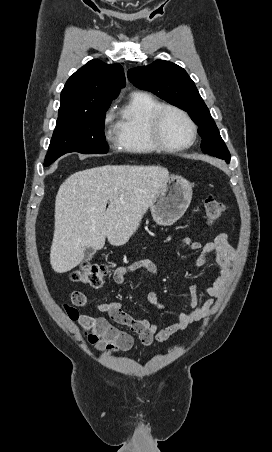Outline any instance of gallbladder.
Wrapping results in <instances>:
<instances>
[{
  "mask_svg": "<svg viewBox=\"0 0 272 452\" xmlns=\"http://www.w3.org/2000/svg\"><path fill=\"white\" fill-rule=\"evenodd\" d=\"M95 253H96V250L94 248L88 247L84 251V258L86 260H91Z\"/></svg>",
  "mask_w": 272,
  "mask_h": 452,
  "instance_id": "bac80fb5",
  "label": "gallbladder"
}]
</instances>
